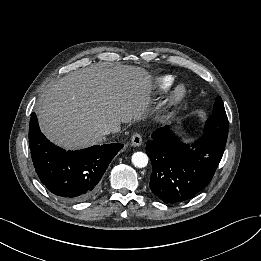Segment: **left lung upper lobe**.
<instances>
[{
	"mask_svg": "<svg viewBox=\"0 0 261 261\" xmlns=\"http://www.w3.org/2000/svg\"><path fill=\"white\" fill-rule=\"evenodd\" d=\"M207 122L210 123L208 128L209 133L212 135V139L217 141V143L225 146L228 135V119L221 97L216 98L213 114ZM212 124H214V126L218 127L219 129L214 131L212 129Z\"/></svg>",
	"mask_w": 261,
	"mask_h": 261,
	"instance_id": "left-lung-upper-lobe-1",
	"label": "left lung upper lobe"
}]
</instances>
